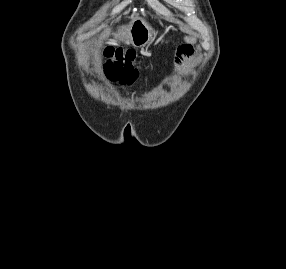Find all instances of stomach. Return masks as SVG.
<instances>
[{"instance_id": "0dacf381", "label": "stomach", "mask_w": 286, "mask_h": 269, "mask_svg": "<svg viewBox=\"0 0 286 269\" xmlns=\"http://www.w3.org/2000/svg\"><path fill=\"white\" fill-rule=\"evenodd\" d=\"M156 37L152 27L143 20L133 22L124 32L118 36V39L134 47H144L154 41Z\"/></svg>"}]
</instances>
